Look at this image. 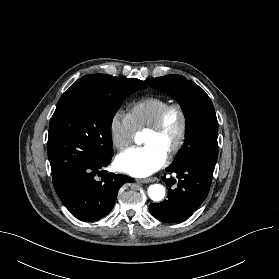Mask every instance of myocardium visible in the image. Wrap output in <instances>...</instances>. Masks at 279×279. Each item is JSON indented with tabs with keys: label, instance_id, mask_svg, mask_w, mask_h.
<instances>
[{
	"label": "myocardium",
	"instance_id": "1",
	"mask_svg": "<svg viewBox=\"0 0 279 279\" xmlns=\"http://www.w3.org/2000/svg\"><path fill=\"white\" fill-rule=\"evenodd\" d=\"M176 111L181 120V126H180V132L178 139L175 143V145L172 147V149L169 151L167 157L172 158L174 157L182 148L184 145L186 134H187V126H188V120L187 115L184 110V108L179 103H170L166 105L158 114L155 121L146 129V132H158L160 131L168 117V115L172 112Z\"/></svg>",
	"mask_w": 279,
	"mask_h": 279
}]
</instances>
